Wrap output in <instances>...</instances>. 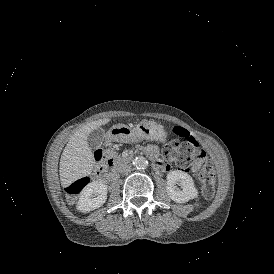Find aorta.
I'll return each mask as SVG.
<instances>
[{"label":"aorta","mask_w":274,"mask_h":274,"mask_svg":"<svg viewBox=\"0 0 274 274\" xmlns=\"http://www.w3.org/2000/svg\"><path fill=\"white\" fill-rule=\"evenodd\" d=\"M132 164L137 168V169H145L148 166V161L146 160L145 157H136Z\"/></svg>","instance_id":"aorta-1"}]
</instances>
